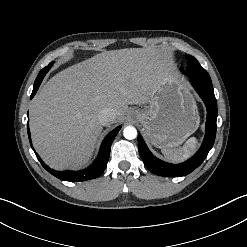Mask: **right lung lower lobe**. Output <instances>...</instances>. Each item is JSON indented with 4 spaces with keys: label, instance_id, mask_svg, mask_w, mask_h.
I'll return each mask as SVG.
<instances>
[{
    "label": "right lung lower lobe",
    "instance_id": "1",
    "mask_svg": "<svg viewBox=\"0 0 247 247\" xmlns=\"http://www.w3.org/2000/svg\"><path fill=\"white\" fill-rule=\"evenodd\" d=\"M51 67L47 66L44 69L40 71L38 74L35 83H34V88L31 94V98L36 94L44 76L46 73L50 70ZM120 126L115 128L113 131H111L107 137L104 139V142L102 144L99 156L97 160L87 169L81 170V171H55L49 168L41 159L40 157L36 154L38 160L40 161L41 165L53 176L57 177L60 180L64 181H70V182H81V181H86L90 179L97 178L100 176L103 171L105 170L107 166V162L110 156V148L111 144L117 135V133L120 130ZM27 131H28V136H29V141L31 144V139H30V131H29V126H27ZM32 147V144H31ZM33 149V147H32Z\"/></svg>",
    "mask_w": 247,
    "mask_h": 247
}]
</instances>
